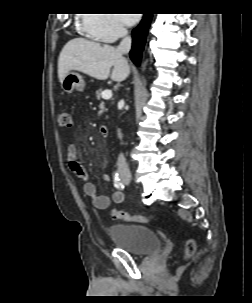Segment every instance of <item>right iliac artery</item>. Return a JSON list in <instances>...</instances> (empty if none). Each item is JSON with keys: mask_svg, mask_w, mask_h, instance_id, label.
Masks as SVG:
<instances>
[{"mask_svg": "<svg viewBox=\"0 0 252 303\" xmlns=\"http://www.w3.org/2000/svg\"><path fill=\"white\" fill-rule=\"evenodd\" d=\"M113 181H114V186L118 189H123L124 188V185L123 183L121 182V179L119 178V175L118 173H115L114 176H113Z\"/></svg>", "mask_w": 252, "mask_h": 303, "instance_id": "1", "label": "right iliac artery"}]
</instances>
